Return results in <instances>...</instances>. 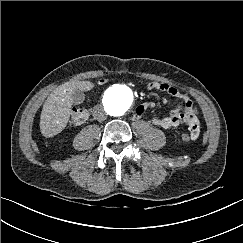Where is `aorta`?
Segmentation results:
<instances>
[{
    "label": "aorta",
    "mask_w": 243,
    "mask_h": 243,
    "mask_svg": "<svg viewBox=\"0 0 243 243\" xmlns=\"http://www.w3.org/2000/svg\"><path fill=\"white\" fill-rule=\"evenodd\" d=\"M119 87H112L109 88L106 92V102L109 105L117 106L122 103L123 97L120 95V92L118 90Z\"/></svg>",
    "instance_id": "obj_1"
}]
</instances>
